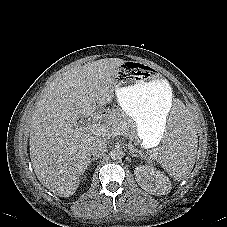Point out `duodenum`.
<instances>
[{
	"mask_svg": "<svg viewBox=\"0 0 227 227\" xmlns=\"http://www.w3.org/2000/svg\"><path fill=\"white\" fill-rule=\"evenodd\" d=\"M102 117H103V115H102V113H100V112H96V113H94V114L92 115V119H93L94 121H99V120L102 119Z\"/></svg>",
	"mask_w": 227,
	"mask_h": 227,
	"instance_id": "1",
	"label": "duodenum"
}]
</instances>
